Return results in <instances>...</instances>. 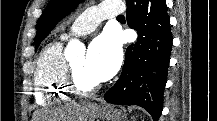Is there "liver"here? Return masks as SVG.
<instances>
[{"mask_svg":"<svg viewBox=\"0 0 217 121\" xmlns=\"http://www.w3.org/2000/svg\"><path fill=\"white\" fill-rule=\"evenodd\" d=\"M95 109L96 105L88 104L85 106L71 105L57 111H51L43 115V119H67L68 121H94L95 120ZM47 116V117H46Z\"/></svg>","mask_w":217,"mask_h":121,"instance_id":"obj_1","label":"liver"}]
</instances>
